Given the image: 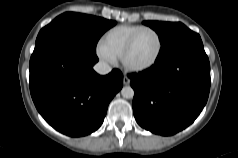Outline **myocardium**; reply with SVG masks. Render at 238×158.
Here are the masks:
<instances>
[{"instance_id": "myocardium-1", "label": "myocardium", "mask_w": 238, "mask_h": 158, "mask_svg": "<svg viewBox=\"0 0 238 158\" xmlns=\"http://www.w3.org/2000/svg\"><path fill=\"white\" fill-rule=\"evenodd\" d=\"M145 31H150L152 33H154L157 37V40H158V50H157V53L155 55V57L153 58L152 61H150L149 63L145 64V65H142V66H132L128 63V55L130 54L138 36L145 32ZM162 51H163V40H162V37L160 35V33L154 29V28H151V27H142L140 28L139 30H137L131 37L130 39L128 40L127 44L125 45L123 51H122V54L120 56V59H121V62H122V65L124 66V68L130 72H143V71H146V70H149L151 69L157 62L158 60L160 59L161 57V54H162Z\"/></svg>"}]
</instances>
